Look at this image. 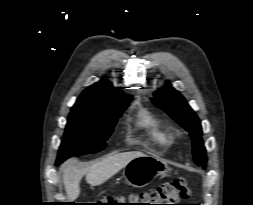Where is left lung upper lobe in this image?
Segmentation results:
<instances>
[{
	"instance_id": "left-lung-upper-lobe-1",
	"label": "left lung upper lobe",
	"mask_w": 253,
	"mask_h": 205,
	"mask_svg": "<svg viewBox=\"0 0 253 205\" xmlns=\"http://www.w3.org/2000/svg\"><path fill=\"white\" fill-rule=\"evenodd\" d=\"M152 100L157 107L167 112L171 118L189 132L193 140L194 161L205 167L207 157L201 139V124L182 95L174 88L166 87L157 91Z\"/></svg>"
}]
</instances>
